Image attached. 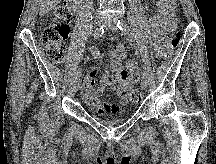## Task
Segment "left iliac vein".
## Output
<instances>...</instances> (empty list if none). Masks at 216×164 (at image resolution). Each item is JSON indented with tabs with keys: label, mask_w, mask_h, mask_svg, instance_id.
I'll return each mask as SVG.
<instances>
[{
	"label": "left iliac vein",
	"mask_w": 216,
	"mask_h": 164,
	"mask_svg": "<svg viewBox=\"0 0 216 164\" xmlns=\"http://www.w3.org/2000/svg\"><path fill=\"white\" fill-rule=\"evenodd\" d=\"M104 26H105V28L109 29L112 32H118L119 31L116 24L114 22H112V21L106 20L104 22ZM148 84H149V82H148L147 77L143 76L142 79H141V85H142L143 89L146 90L148 88Z\"/></svg>",
	"instance_id": "obj_1"
}]
</instances>
